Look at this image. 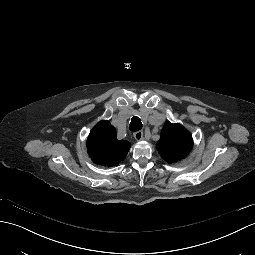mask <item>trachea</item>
<instances>
[{
  "label": "trachea",
  "instance_id": "1",
  "mask_svg": "<svg viewBox=\"0 0 255 255\" xmlns=\"http://www.w3.org/2000/svg\"><path fill=\"white\" fill-rule=\"evenodd\" d=\"M129 129L132 132L142 129V122L138 116H133L129 125Z\"/></svg>",
  "mask_w": 255,
  "mask_h": 255
}]
</instances>
